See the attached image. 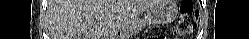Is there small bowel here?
Segmentation results:
<instances>
[{
	"mask_svg": "<svg viewBox=\"0 0 249 39\" xmlns=\"http://www.w3.org/2000/svg\"><path fill=\"white\" fill-rule=\"evenodd\" d=\"M150 39H164V37L154 36V37H151Z\"/></svg>",
	"mask_w": 249,
	"mask_h": 39,
	"instance_id": "small-bowel-1",
	"label": "small bowel"
}]
</instances>
